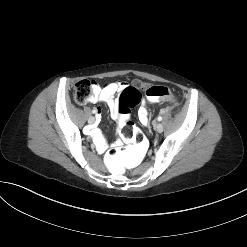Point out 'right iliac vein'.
I'll return each instance as SVG.
<instances>
[{"instance_id": "63e3f726", "label": "right iliac vein", "mask_w": 247, "mask_h": 247, "mask_svg": "<svg viewBox=\"0 0 247 247\" xmlns=\"http://www.w3.org/2000/svg\"><path fill=\"white\" fill-rule=\"evenodd\" d=\"M95 122V118L93 117V116H90L89 118H88V123L89 124H93Z\"/></svg>"}]
</instances>
